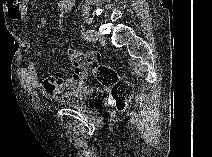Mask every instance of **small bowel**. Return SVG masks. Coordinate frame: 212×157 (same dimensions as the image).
Instances as JSON below:
<instances>
[{"mask_svg": "<svg viewBox=\"0 0 212 157\" xmlns=\"http://www.w3.org/2000/svg\"><path fill=\"white\" fill-rule=\"evenodd\" d=\"M74 5L75 0L60 1V6L65 12L71 11ZM6 10L10 19L19 20L27 13V4L24 1L9 0L6 2ZM22 49L24 52H28L31 49V43L28 41L24 42ZM21 75L28 88L41 89L49 97H57L66 91L79 89L83 86V83L76 82L73 77L51 76L41 80L34 63H29L26 67H23Z\"/></svg>", "mask_w": 212, "mask_h": 157, "instance_id": "small-bowel-1", "label": "small bowel"}]
</instances>
